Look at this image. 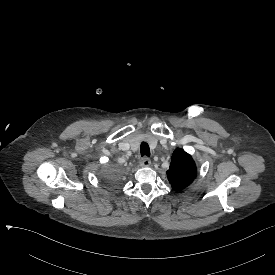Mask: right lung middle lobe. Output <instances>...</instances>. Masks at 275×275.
Listing matches in <instances>:
<instances>
[{"label": "right lung middle lobe", "instance_id": "right-lung-middle-lobe-1", "mask_svg": "<svg viewBox=\"0 0 275 275\" xmlns=\"http://www.w3.org/2000/svg\"><path fill=\"white\" fill-rule=\"evenodd\" d=\"M97 176L100 181L104 182L107 192L116 194L120 192L124 186L123 174L121 170L113 164H104L99 167Z\"/></svg>", "mask_w": 275, "mask_h": 275}]
</instances>
